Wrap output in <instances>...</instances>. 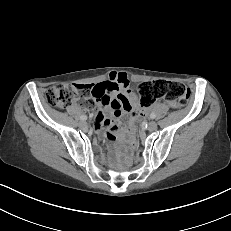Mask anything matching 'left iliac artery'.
<instances>
[{"label": "left iliac artery", "mask_w": 231, "mask_h": 231, "mask_svg": "<svg viewBox=\"0 0 231 231\" xmlns=\"http://www.w3.org/2000/svg\"><path fill=\"white\" fill-rule=\"evenodd\" d=\"M156 117V115L154 113L150 114V118L154 119Z\"/></svg>", "instance_id": "left-iliac-artery-1"}]
</instances>
